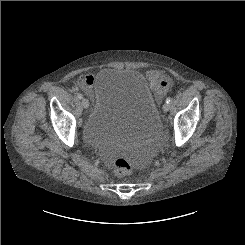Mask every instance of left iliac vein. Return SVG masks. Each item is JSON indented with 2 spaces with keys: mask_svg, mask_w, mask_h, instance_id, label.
Listing matches in <instances>:
<instances>
[{
  "mask_svg": "<svg viewBox=\"0 0 245 245\" xmlns=\"http://www.w3.org/2000/svg\"><path fill=\"white\" fill-rule=\"evenodd\" d=\"M169 109H170L169 104H168V103H165V104L163 105V111H164V112H168Z\"/></svg>",
  "mask_w": 245,
  "mask_h": 245,
  "instance_id": "4c4485c4",
  "label": "left iliac vein"
}]
</instances>
